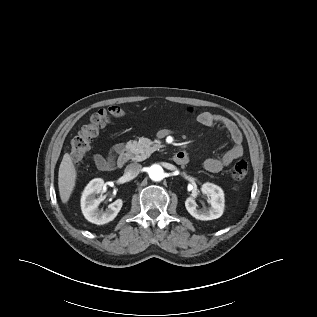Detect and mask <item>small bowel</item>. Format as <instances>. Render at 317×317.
I'll return each mask as SVG.
<instances>
[{
    "label": "small bowel",
    "mask_w": 317,
    "mask_h": 317,
    "mask_svg": "<svg viewBox=\"0 0 317 317\" xmlns=\"http://www.w3.org/2000/svg\"><path fill=\"white\" fill-rule=\"evenodd\" d=\"M190 111L195 112L193 109H190ZM195 115L197 122L203 126H213L216 124L222 126L228 132L231 140L234 143L233 147L227 150L221 157L205 159L202 163L204 170L210 173H218L225 167L229 166L232 162L243 156V134L234 121L209 111L195 112ZM121 147V144L115 145L108 157H104L100 154L94 155L93 160L97 168L100 170H105L107 163L110 160L115 159V154L121 149Z\"/></svg>",
    "instance_id": "c3829d8e"
}]
</instances>
